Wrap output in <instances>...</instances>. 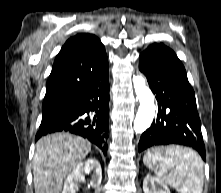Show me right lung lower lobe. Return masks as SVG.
<instances>
[{
	"label": "right lung lower lobe",
	"instance_id": "1",
	"mask_svg": "<svg viewBox=\"0 0 221 193\" xmlns=\"http://www.w3.org/2000/svg\"><path fill=\"white\" fill-rule=\"evenodd\" d=\"M65 131L87 138L107 153L109 133V68L103 64L71 100L68 112L41 123L35 137Z\"/></svg>",
	"mask_w": 221,
	"mask_h": 193
}]
</instances>
